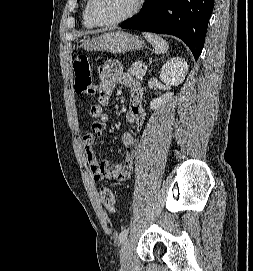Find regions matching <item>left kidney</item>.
Here are the masks:
<instances>
[{
	"label": "left kidney",
	"mask_w": 253,
	"mask_h": 271,
	"mask_svg": "<svg viewBox=\"0 0 253 271\" xmlns=\"http://www.w3.org/2000/svg\"><path fill=\"white\" fill-rule=\"evenodd\" d=\"M187 62L180 57H173L168 60L162 67L160 79L167 85L178 86L184 80L188 73ZM173 96V93L168 92L159 98H155L150 103V109H158L164 106Z\"/></svg>",
	"instance_id": "1"
}]
</instances>
